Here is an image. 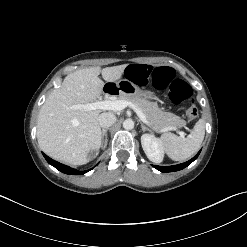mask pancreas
Instances as JSON below:
<instances>
[{
	"mask_svg": "<svg viewBox=\"0 0 247 247\" xmlns=\"http://www.w3.org/2000/svg\"><path fill=\"white\" fill-rule=\"evenodd\" d=\"M116 100L131 102L141 109L147 118L148 124L157 131L161 132L165 128H176V126H185L186 124L179 116L163 111L158 107L156 102H150L141 97H132L124 94L118 95Z\"/></svg>",
	"mask_w": 247,
	"mask_h": 247,
	"instance_id": "pancreas-1",
	"label": "pancreas"
}]
</instances>
